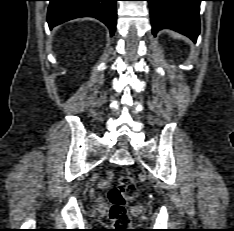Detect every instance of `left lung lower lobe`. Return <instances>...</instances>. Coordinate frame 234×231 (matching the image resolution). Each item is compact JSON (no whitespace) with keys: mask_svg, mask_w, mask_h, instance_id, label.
<instances>
[{"mask_svg":"<svg viewBox=\"0 0 234 231\" xmlns=\"http://www.w3.org/2000/svg\"><path fill=\"white\" fill-rule=\"evenodd\" d=\"M150 3L152 33L164 28L188 36L194 42L200 32L199 6L203 0H147Z\"/></svg>","mask_w":234,"mask_h":231,"instance_id":"0a47b994","label":"left lung lower lobe"}]
</instances>
